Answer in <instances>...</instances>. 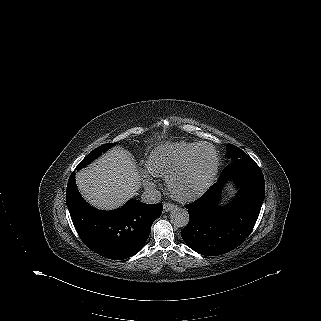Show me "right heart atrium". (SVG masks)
Here are the masks:
<instances>
[{
  "label": "right heart atrium",
  "mask_w": 321,
  "mask_h": 321,
  "mask_svg": "<svg viewBox=\"0 0 321 321\" xmlns=\"http://www.w3.org/2000/svg\"><path fill=\"white\" fill-rule=\"evenodd\" d=\"M142 172H143V176H144V181H145V183H146L149 187H154V180H153L151 174L149 173V171H147L146 169H143Z\"/></svg>",
  "instance_id": "d8ad5b80"
}]
</instances>
